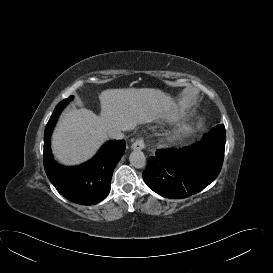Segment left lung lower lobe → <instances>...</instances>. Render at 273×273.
<instances>
[{"label": "left lung lower lobe", "mask_w": 273, "mask_h": 273, "mask_svg": "<svg viewBox=\"0 0 273 273\" xmlns=\"http://www.w3.org/2000/svg\"><path fill=\"white\" fill-rule=\"evenodd\" d=\"M224 150L203 140L182 149L158 150L149 158L143 179L159 195L186 198L215 180L223 164Z\"/></svg>", "instance_id": "1"}]
</instances>
